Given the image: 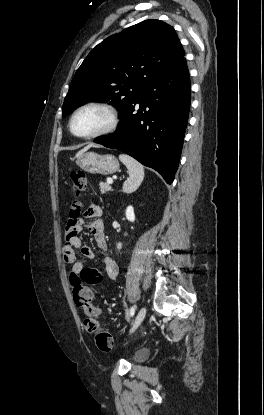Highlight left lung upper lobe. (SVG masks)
Returning a JSON list of instances; mask_svg holds the SVG:
<instances>
[{"label": "left lung upper lobe", "mask_w": 264, "mask_h": 415, "mask_svg": "<svg viewBox=\"0 0 264 415\" xmlns=\"http://www.w3.org/2000/svg\"><path fill=\"white\" fill-rule=\"evenodd\" d=\"M184 55L174 28L156 19L114 34L98 44L76 71L62 116L92 100L110 102L121 114L146 85Z\"/></svg>", "instance_id": "obj_1"}]
</instances>
